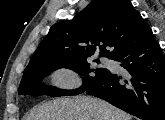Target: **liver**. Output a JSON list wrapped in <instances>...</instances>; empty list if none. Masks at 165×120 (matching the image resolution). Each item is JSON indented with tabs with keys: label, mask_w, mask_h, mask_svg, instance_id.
<instances>
[{
	"label": "liver",
	"mask_w": 165,
	"mask_h": 120,
	"mask_svg": "<svg viewBox=\"0 0 165 120\" xmlns=\"http://www.w3.org/2000/svg\"><path fill=\"white\" fill-rule=\"evenodd\" d=\"M26 120H132V117L101 99L80 96L38 105Z\"/></svg>",
	"instance_id": "1"
}]
</instances>
